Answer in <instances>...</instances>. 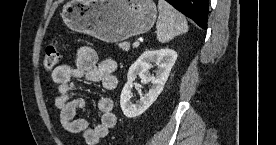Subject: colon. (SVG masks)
Returning <instances> with one entry per match:
<instances>
[{
  "instance_id": "5ec220e1",
  "label": "colon",
  "mask_w": 276,
  "mask_h": 145,
  "mask_svg": "<svg viewBox=\"0 0 276 145\" xmlns=\"http://www.w3.org/2000/svg\"><path fill=\"white\" fill-rule=\"evenodd\" d=\"M60 59V48L56 40L50 42L46 47L44 57H43V66L46 70H52L56 67Z\"/></svg>"
}]
</instances>
